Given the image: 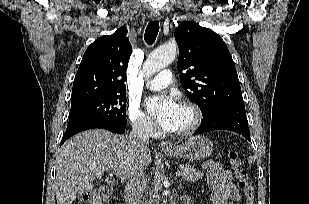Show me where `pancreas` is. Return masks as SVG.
Here are the masks:
<instances>
[{
	"label": "pancreas",
	"instance_id": "pancreas-1",
	"mask_svg": "<svg viewBox=\"0 0 309 204\" xmlns=\"http://www.w3.org/2000/svg\"><path fill=\"white\" fill-rule=\"evenodd\" d=\"M183 175V179L187 181H196L203 177V173L197 171L193 166L186 165L183 169L180 170Z\"/></svg>",
	"mask_w": 309,
	"mask_h": 204
}]
</instances>
